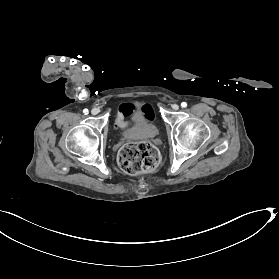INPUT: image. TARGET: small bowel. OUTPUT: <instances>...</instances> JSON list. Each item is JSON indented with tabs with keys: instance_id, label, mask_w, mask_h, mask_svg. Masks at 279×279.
Instances as JSON below:
<instances>
[{
	"instance_id": "c3829d8e",
	"label": "small bowel",
	"mask_w": 279,
	"mask_h": 279,
	"mask_svg": "<svg viewBox=\"0 0 279 279\" xmlns=\"http://www.w3.org/2000/svg\"><path fill=\"white\" fill-rule=\"evenodd\" d=\"M132 104H123L119 107L117 116H116V121H115V127L117 128H122L130 125V123H126L124 121L125 116H127L133 109ZM142 110L147 113L150 117L153 118V110L148 104L141 105Z\"/></svg>"
}]
</instances>
